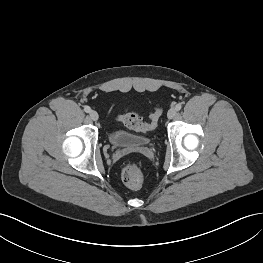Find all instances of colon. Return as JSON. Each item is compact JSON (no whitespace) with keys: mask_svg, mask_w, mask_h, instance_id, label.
I'll return each instance as SVG.
<instances>
[{"mask_svg":"<svg viewBox=\"0 0 263 263\" xmlns=\"http://www.w3.org/2000/svg\"><path fill=\"white\" fill-rule=\"evenodd\" d=\"M161 115V107H156L150 116L149 122H144L135 112H126L122 115V121L126 126L136 131L148 132L153 130ZM121 178L124 184L130 188L141 187L144 180L142 168L135 162L126 163L121 170Z\"/></svg>","mask_w":263,"mask_h":263,"instance_id":"obj_1","label":"colon"}]
</instances>
